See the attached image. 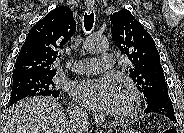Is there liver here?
<instances>
[{"label": "liver", "mask_w": 184, "mask_h": 133, "mask_svg": "<svg viewBox=\"0 0 184 133\" xmlns=\"http://www.w3.org/2000/svg\"><path fill=\"white\" fill-rule=\"evenodd\" d=\"M68 123L52 97H31L17 102L8 112L3 133H68Z\"/></svg>", "instance_id": "6515ba94"}]
</instances>
